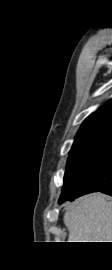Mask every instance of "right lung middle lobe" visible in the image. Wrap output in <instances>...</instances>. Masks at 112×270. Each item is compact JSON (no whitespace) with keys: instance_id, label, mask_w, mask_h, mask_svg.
<instances>
[{"instance_id":"dd1d6c3e","label":"right lung middle lobe","mask_w":112,"mask_h":270,"mask_svg":"<svg viewBox=\"0 0 112 270\" xmlns=\"http://www.w3.org/2000/svg\"><path fill=\"white\" fill-rule=\"evenodd\" d=\"M111 144L112 125L97 127L75 137L59 203L73 201L85 192L82 177L102 160Z\"/></svg>"}]
</instances>
